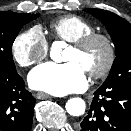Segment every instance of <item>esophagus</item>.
Returning a JSON list of instances; mask_svg holds the SVG:
<instances>
[{
    "label": "esophagus",
    "instance_id": "obj_1",
    "mask_svg": "<svg viewBox=\"0 0 131 131\" xmlns=\"http://www.w3.org/2000/svg\"><path fill=\"white\" fill-rule=\"evenodd\" d=\"M37 99H47V98H51V96L49 94H46L44 92H37L35 94Z\"/></svg>",
    "mask_w": 131,
    "mask_h": 131
}]
</instances>
